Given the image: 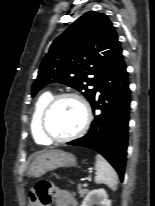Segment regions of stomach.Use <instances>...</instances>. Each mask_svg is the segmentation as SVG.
<instances>
[{"instance_id":"0dacf381","label":"stomach","mask_w":155,"mask_h":206,"mask_svg":"<svg viewBox=\"0 0 155 206\" xmlns=\"http://www.w3.org/2000/svg\"><path fill=\"white\" fill-rule=\"evenodd\" d=\"M76 165L77 161L73 154L62 150H49L35 158L30 165L28 174L31 177H40L59 167H75Z\"/></svg>"}]
</instances>
